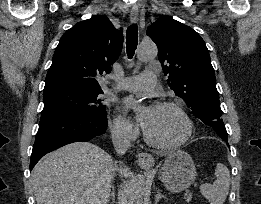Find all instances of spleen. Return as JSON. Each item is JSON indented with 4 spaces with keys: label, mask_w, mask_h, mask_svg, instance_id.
<instances>
[{
    "label": "spleen",
    "mask_w": 261,
    "mask_h": 204,
    "mask_svg": "<svg viewBox=\"0 0 261 204\" xmlns=\"http://www.w3.org/2000/svg\"><path fill=\"white\" fill-rule=\"evenodd\" d=\"M215 177L216 179L213 184H202L200 192L210 204H223L230 187V173L228 168L222 163H217Z\"/></svg>",
    "instance_id": "1"
}]
</instances>
